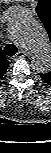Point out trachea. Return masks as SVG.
I'll return each mask as SVG.
<instances>
[{"mask_svg": "<svg viewBox=\"0 0 51 153\" xmlns=\"http://www.w3.org/2000/svg\"><path fill=\"white\" fill-rule=\"evenodd\" d=\"M18 49L14 44H7L4 48V52L8 56H13L17 53Z\"/></svg>", "mask_w": 51, "mask_h": 153, "instance_id": "obj_1", "label": "trachea"}]
</instances>
